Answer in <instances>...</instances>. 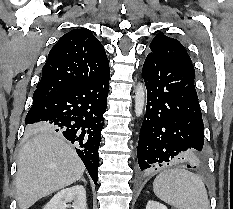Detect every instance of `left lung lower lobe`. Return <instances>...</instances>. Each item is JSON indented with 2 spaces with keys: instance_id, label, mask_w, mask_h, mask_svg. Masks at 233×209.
Instances as JSON below:
<instances>
[{
  "instance_id": "left-lung-lower-lobe-1",
  "label": "left lung lower lobe",
  "mask_w": 233,
  "mask_h": 209,
  "mask_svg": "<svg viewBox=\"0 0 233 209\" xmlns=\"http://www.w3.org/2000/svg\"><path fill=\"white\" fill-rule=\"evenodd\" d=\"M147 88L146 116L138 141L140 169L181 162L201 164L203 120L192 70L148 54L142 69Z\"/></svg>"
}]
</instances>
